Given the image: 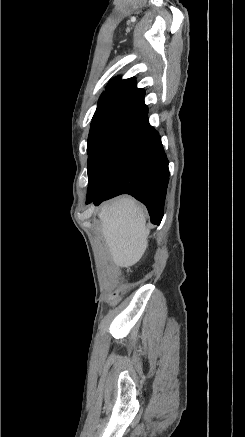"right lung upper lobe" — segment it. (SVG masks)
<instances>
[{
  "label": "right lung upper lobe",
  "mask_w": 245,
  "mask_h": 437,
  "mask_svg": "<svg viewBox=\"0 0 245 437\" xmlns=\"http://www.w3.org/2000/svg\"><path fill=\"white\" fill-rule=\"evenodd\" d=\"M145 91L136 86L135 78L121 80L115 77L106 86L102 93L97 108L109 105L127 106L132 109L148 113L144 103Z\"/></svg>",
  "instance_id": "obj_1"
}]
</instances>
